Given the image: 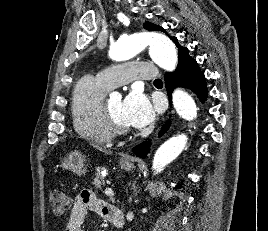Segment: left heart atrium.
Here are the masks:
<instances>
[{
  "instance_id": "left-heart-atrium-1",
  "label": "left heart atrium",
  "mask_w": 268,
  "mask_h": 231,
  "mask_svg": "<svg viewBox=\"0 0 268 231\" xmlns=\"http://www.w3.org/2000/svg\"><path fill=\"white\" fill-rule=\"evenodd\" d=\"M123 108L127 123L135 128L150 124L156 116L149 98L138 88H133L126 96Z\"/></svg>"
}]
</instances>
